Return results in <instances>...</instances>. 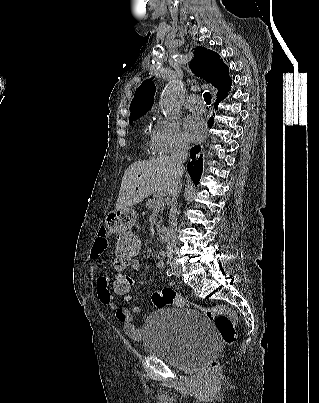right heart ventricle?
<instances>
[{"label":"right heart ventricle","instance_id":"e07e8e85","mask_svg":"<svg viewBox=\"0 0 319 403\" xmlns=\"http://www.w3.org/2000/svg\"><path fill=\"white\" fill-rule=\"evenodd\" d=\"M147 151H148L150 154H154V153L158 152V150H157V148H156V146H155V144H154V141H153V134H152L151 139H150V141H149V145H148Z\"/></svg>","mask_w":319,"mask_h":403}]
</instances>
